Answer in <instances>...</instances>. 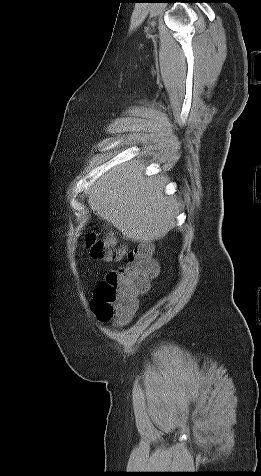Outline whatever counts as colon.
Returning <instances> with one entry per match:
<instances>
[{
	"label": "colon",
	"instance_id": "5ec220e1",
	"mask_svg": "<svg viewBox=\"0 0 261 476\" xmlns=\"http://www.w3.org/2000/svg\"><path fill=\"white\" fill-rule=\"evenodd\" d=\"M93 257L114 261L125 259L124 264L110 272L95 290L92 310L103 322L115 321L123 324L129 321L137 309V297L147 291L149 282L158 274V264L154 259V247L142 242L131 250L116 246L115 239L99 240L96 234L87 238Z\"/></svg>",
	"mask_w": 261,
	"mask_h": 476
}]
</instances>
